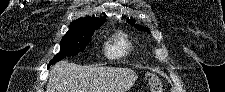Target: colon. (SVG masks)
Segmentation results:
<instances>
[{
    "label": "colon",
    "mask_w": 225,
    "mask_h": 92,
    "mask_svg": "<svg viewBox=\"0 0 225 92\" xmlns=\"http://www.w3.org/2000/svg\"><path fill=\"white\" fill-rule=\"evenodd\" d=\"M147 78L151 92H162L161 81L157 77L149 75Z\"/></svg>",
    "instance_id": "5ec220e1"
}]
</instances>
